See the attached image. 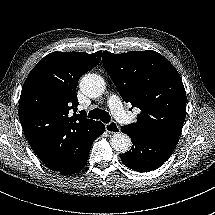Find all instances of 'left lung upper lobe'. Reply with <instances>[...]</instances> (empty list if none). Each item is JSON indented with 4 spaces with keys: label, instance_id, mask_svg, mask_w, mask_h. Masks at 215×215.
Returning <instances> with one entry per match:
<instances>
[{
    "label": "left lung upper lobe",
    "instance_id": "5c2ea615",
    "mask_svg": "<svg viewBox=\"0 0 215 215\" xmlns=\"http://www.w3.org/2000/svg\"><path fill=\"white\" fill-rule=\"evenodd\" d=\"M104 67L122 99L141 110L122 129L135 135L178 138L186 115V92L174 66L155 51L103 52Z\"/></svg>",
    "mask_w": 215,
    "mask_h": 215
}]
</instances>
